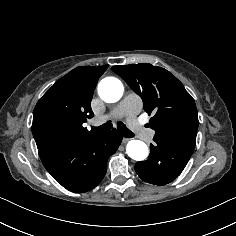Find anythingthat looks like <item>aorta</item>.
Returning <instances> with one entry per match:
<instances>
[{
  "instance_id": "obj_1",
  "label": "aorta",
  "mask_w": 236,
  "mask_h": 236,
  "mask_svg": "<svg viewBox=\"0 0 236 236\" xmlns=\"http://www.w3.org/2000/svg\"><path fill=\"white\" fill-rule=\"evenodd\" d=\"M123 84L115 77H106L98 85L100 98L107 103H114L120 100L123 95ZM126 152L130 158L136 161H143L149 154L147 145L140 140H131L126 146Z\"/></svg>"
}]
</instances>
